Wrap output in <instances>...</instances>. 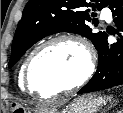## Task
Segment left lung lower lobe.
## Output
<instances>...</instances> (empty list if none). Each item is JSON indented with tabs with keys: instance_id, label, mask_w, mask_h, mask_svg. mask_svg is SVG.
<instances>
[{
	"instance_id": "obj_1",
	"label": "left lung lower lobe",
	"mask_w": 123,
	"mask_h": 113,
	"mask_svg": "<svg viewBox=\"0 0 123 113\" xmlns=\"http://www.w3.org/2000/svg\"><path fill=\"white\" fill-rule=\"evenodd\" d=\"M118 27L119 39L108 44L107 37L97 48L98 67L91 80L78 91L79 94L108 89L123 84V0H111L108 4Z\"/></svg>"
}]
</instances>
